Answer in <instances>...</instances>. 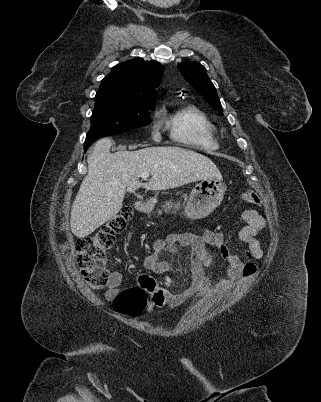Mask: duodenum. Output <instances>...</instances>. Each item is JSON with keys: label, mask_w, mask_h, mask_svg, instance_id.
Returning a JSON list of instances; mask_svg holds the SVG:
<instances>
[{"label": "duodenum", "mask_w": 321, "mask_h": 402, "mask_svg": "<svg viewBox=\"0 0 321 402\" xmlns=\"http://www.w3.org/2000/svg\"><path fill=\"white\" fill-rule=\"evenodd\" d=\"M147 206V201L143 199H137L133 202V207L138 211L144 210Z\"/></svg>", "instance_id": "obj_1"}]
</instances>
